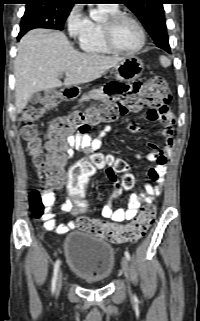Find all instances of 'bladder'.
<instances>
[{
    "instance_id": "bladder-1",
    "label": "bladder",
    "mask_w": 200,
    "mask_h": 321,
    "mask_svg": "<svg viewBox=\"0 0 200 321\" xmlns=\"http://www.w3.org/2000/svg\"><path fill=\"white\" fill-rule=\"evenodd\" d=\"M70 270L89 283H105L115 267L114 248L103 238L85 231L69 233L63 243Z\"/></svg>"
}]
</instances>
